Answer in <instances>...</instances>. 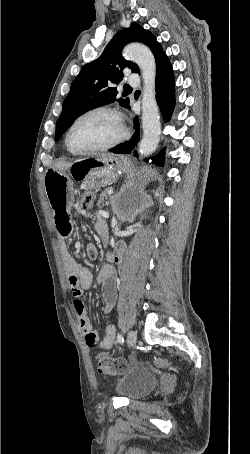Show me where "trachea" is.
<instances>
[{
    "instance_id": "obj_1",
    "label": "trachea",
    "mask_w": 250,
    "mask_h": 454,
    "mask_svg": "<svg viewBox=\"0 0 250 454\" xmlns=\"http://www.w3.org/2000/svg\"><path fill=\"white\" fill-rule=\"evenodd\" d=\"M124 89H131L129 85L124 86Z\"/></svg>"
}]
</instances>
